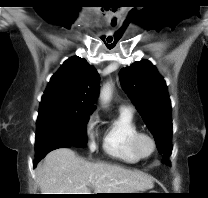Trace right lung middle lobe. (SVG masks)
<instances>
[{"mask_svg":"<svg viewBox=\"0 0 208 198\" xmlns=\"http://www.w3.org/2000/svg\"><path fill=\"white\" fill-rule=\"evenodd\" d=\"M90 115L91 112L68 108L40 110L36 123V157H44L58 144L85 147L86 124Z\"/></svg>","mask_w":208,"mask_h":198,"instance_id":"dd1d6c3e","label":"right lung middle lobe"}]
</instances>
